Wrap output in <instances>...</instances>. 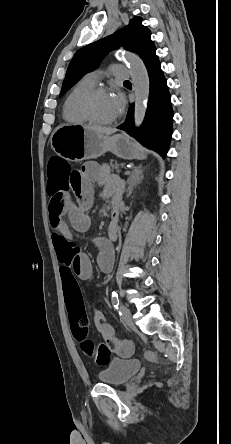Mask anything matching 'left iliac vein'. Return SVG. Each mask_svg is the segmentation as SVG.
I'll list each match as a JSON object with an SVG mask.
<instances>
[{
    "mask_svg": "<svg viewBox=\"0 0 231 444\" xmlns=\"http://www.w3.org/2000/svg\"><path fill=\"white\" fill-rule=\"evenodd\" d=\"M120 310L122 313V318H123L124 323L128 326L133 325V320H132V315H131L130 310L124 305L120 306Z\"/></svg>",
    "mask_w": 231,
    "mask_h": 444,
    "instance_id": "4c4485c4",
    "label": "left iliac vein"
}]
</instances>
